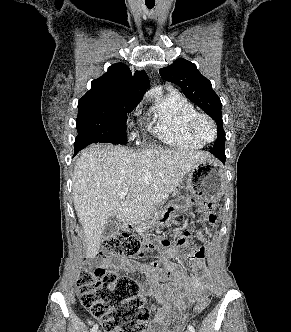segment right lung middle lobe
I'll return each mask as SVG.
<instances>
[{"instance_id": "right-lung-middle-lobe-1", "label": "right lung middle lobe", "mask_w": 291, "mask_h": 332, "mask_svg": "<svg viewBox=\"0 0 291 332\" xmlns=\"http://www.w3.org/2000/svg\"><path fill=\"white\" fill-rule=\"evenodd\" d=\"M139 102L123 98L79 100L75 151L91 143H126V113Z\"/></svg>"}]
</instances>
